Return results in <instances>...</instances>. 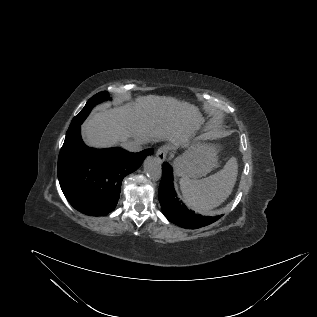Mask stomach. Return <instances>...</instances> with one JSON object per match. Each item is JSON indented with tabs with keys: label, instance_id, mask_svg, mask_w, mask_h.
I'll list each match as a JSON object with an SVG mask.
<instances>
[{
	"label": "stomach",
	"instance_id": "obj_1",
	"mask_svg": "<svg viewBox=\"0 0 317 317\" xmlns=\"http://www.w3.org/2000/svg\"><path fill=\"white\" fill-rule=\"evenodd\" d=\"M175 173L187 178L206 176L218 165V147L211 144L190 146L174 160Z\"/></svg>",
	"mask_w": 317,
	"mask_h": 317
}]
</instances>
